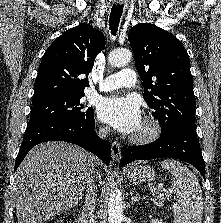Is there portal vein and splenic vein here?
<instances>
[{
  "label": "portal vein and splenic vein",
  "mask_w": 221,
  "mask_h": 223,
  "mask_svg": "<svg viewBox=\"0 0 221 223\" xmlns=\"http://www.w3.org/2000/svg\"><path fill=\"white\" fill-rule=\"evenodd\" d=\"M160 190H162V188L154 189V190H152V193H153V194L159 193ZM163 191H165V190H163Z\"/></svg>",
  "instance_id": "obj_1"
}]
</instances>
